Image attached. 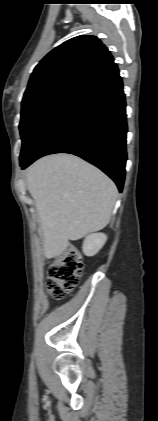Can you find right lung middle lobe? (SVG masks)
<instances>
[{
  "mask_svg": "<svg viewBox=\"0 0 158 421\" xmlns=\"http://www.w3.org/2000/svg\"><path fill=\"white\" fill-rule=\"evenodd\" d=\"M80 86L75 82H60L23 97L19 125L22 139L20 163L26 160L47 123Z\"/></svg>",
  "mask_w": 158,
  "mask_h": 421,
  "instance_id": "1",
  "label": "right lung middle lobe"
}]
</instances>
